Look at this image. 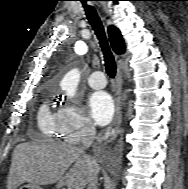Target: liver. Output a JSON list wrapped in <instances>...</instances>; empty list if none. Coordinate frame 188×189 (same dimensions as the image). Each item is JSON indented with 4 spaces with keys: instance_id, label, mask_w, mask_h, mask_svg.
I'll list each match as a JSON object with an SVG mask.
<instances>
[{
    "instance_id": "liver-1",
    "label": "liver",
    "mask_w": 188,
    "mask_h": 189,
    "mask_svg": "<svg viewBox=\"0 0 188 189\" xmlns=\"http://www.w3.org/2000/svg\"><path fill=\"white\" fill-rule=\"evenodd\" d=\"M99 169L97 161L79 147L56 142L21 143L13 152L7 189L26 182L39 187L59 182L60 187L83 189Z\"/></svg>"
}]
</instances>
